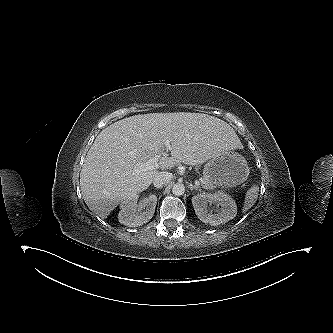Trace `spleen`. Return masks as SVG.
Wrapping results in <instances>:
<instances>
[{"label": "spleen", "mask_w": 333, "mask_h": 333, "mask_svg": "<svg viewBox=\"0 0 333 333\" xmlns=\"http://www.w3.org/2000/svg\"><path fill=\"white\" fill-rule=\"evenodd\" d=\"M259 187L257 185L252 186L246 193L245 202L243 205V213L247 212L257 201Z\"/></svg>", "instance_id": "3e777b00"}]
</instances>
